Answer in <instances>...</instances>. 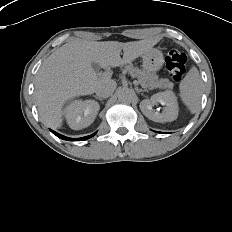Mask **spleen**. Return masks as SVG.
Returning <instances> with one entry per match:
<instances>
[{
	"instance_id": "spleen-1",
	"label": "spleen",
	"mask_w": 232,
	"mask_h": 232,
	"mask_svg": "<svg viewBox=\"0 0 232 232\" xmlns=\"http://www.w3.org/2000/svg\"><path fill=\"white\" fill-rule=\"evenodd\" d=\"M203 81L198 69L193 66L179 85L180 97L191 113L200 109Z\"/></svg>"
}]
</instances>
